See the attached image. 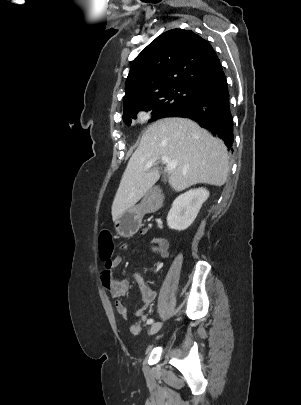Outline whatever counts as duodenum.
Listing matches in <instances>:
<instances>
[{
    "instance_id": "410a0bca",
    "label": "duodenum",
    "mask_w": 301,
    "mask_h": 405,
    "mask_svg": "<svg viewBox=\"0 0 301 405\" xmlns=\"http://www.w3.org/2000/svg\"><path fill=\"white\" fill-rule=\"evenodd\" d=\"M144 195V205L142 206L144 213H159L161 208L166 207L163 190H146Z\"/></svg>"
}]
</instances>
